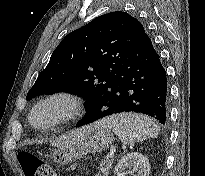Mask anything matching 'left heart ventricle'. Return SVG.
Returning a JSON list of instances; mask_svg holds the SVG:
<instances>
[{
    "instance_id": "b2bd125f",
    "label": "left heart ventricle",
    "mask_w": 205,
    "mask_h": 176,
    "mask_svg": "<svg viewBox=\"0 0 205 176\" xmlns=\"http://www.w3.org/2000/svg\"><path fill=\"white\" fill-rule=\"evenodd\" d=\"M59 105H48L39 109L34 115V122L38 125H47L51 123L58 115Z\"/></svg>"
}]
</instances>
